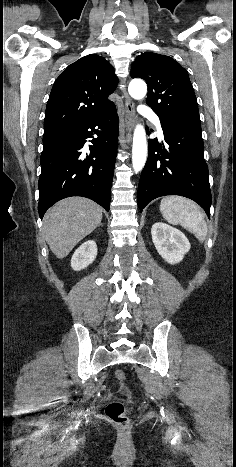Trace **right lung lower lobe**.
I'll use <instances>...</instances> for the list:
<instances>
[{
    "instance_id": "1",
    "label": "right lung lower lobe",
    "mask_w": 236,
    "mask_h": 467,
    "mask_svg": "<svg viewBox=\"0 0 236 467\" xmlns=\"http://www.w3.org/2000/svg\"><path fill=\"white\" fill-rule=\"evenodd\" d=\"M118 132L114 106L84 124L43 136L38 182L41 218L54 203L70 196L90 198L110 210ZM93 133L98 137L86 151L85 139Z\"/></svg>"
}]
</instances>
